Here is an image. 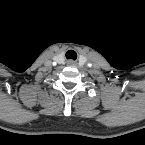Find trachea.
<instances>
[{
  "label": "trachea",
  "mask_w": 145,
  "mask_h": 145,
  "mask_svg": "<svg viewBox=\"0 0 145 145\" xmlns=\"http://www.w3.org/2000/svg\"><path fill=\"white\" fill-rule=\"evenodd\" d=\"M66 58L76 60L77 59V53L74 50H68L66 52Z\"/></svg>",
  "instance_id": "1"
}]
</instances>
